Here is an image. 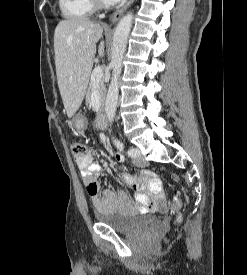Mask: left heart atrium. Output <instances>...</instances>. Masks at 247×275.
I'll return each instance as SVG.
<instances>
[{"label":"left heart atrium","instance_id":"39dd6f15","mask_svg":"<svg viewBox=\"0 0 247 275\" xmlns=\"http://www.w3.org/2000/svg\"><path fill=\"white\" fill-rule=\"evenodd\" d=\"M107 1H109L110 3H116V2H119L121 0H107Z\"/></svg>","mask_w":247,"mask_h":275}]
</instances>
